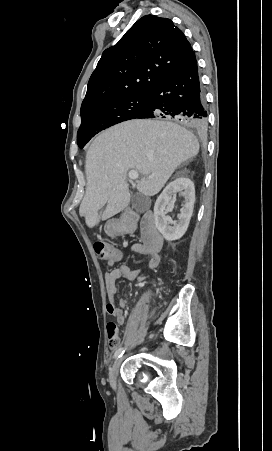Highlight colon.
<instances>
[{"label": "colon", "mask_w": 272, "mask_h": 451, "mask_svg": "<svg viewBox=\"0 0 272 451\" xmlns=\"http://www.w3.org/2000/svg\"><path fill=\"white\" fill-rule=\"evenodd\" d=\"M94 248L96 253L99 255L98 259L103 261L105 256H120L121 248L120 247H109L104 242L96 241L94 243ZM106 333L110 346L118 345V325L114 321H109L106 324Z\"/></svg>", "instance_id": "obj_1"}]
</instances>
